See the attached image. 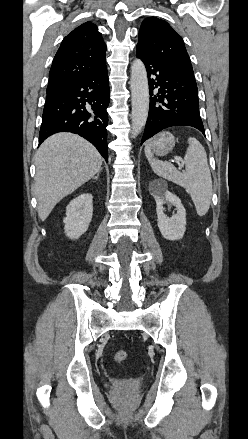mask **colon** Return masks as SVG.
<instances>
[{
    "mask_svg": "<svg viewBox=\"0 0 248 439\" xmlns=\"http://www.w3.org/2000/svg\"><path fill=\"white\" fill-rule=\"evenodd\" d=\"M127 358H128V354L126 351H117L114 355V360L117 363L124 362L127 360Z\"/></svg>",
    "mask_w": 248,
    "mask_h": 439,
    "instance_id": "5ec220e1",
    "label": "colon"
}]
</instances>
